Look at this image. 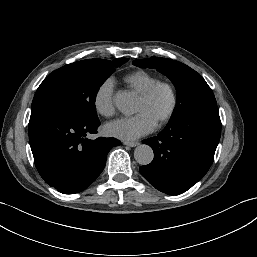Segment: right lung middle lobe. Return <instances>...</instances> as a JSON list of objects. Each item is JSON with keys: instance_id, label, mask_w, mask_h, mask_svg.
Wrapping results in <instances>:
<instances>
[{"instance_id": "1", "label": "right lung middle lobe", "mask_w": 257, "mask_h": 257, "mask_svg": "<svg viewBox=\"0 0 257 257\" xmlns=\"http://www.w3.org/2000/svg\"><path fill=\"white\" fill-rule=\"evenodd\" d=\"M127 61L128 58L113 61L88 59L55 70L37 89L31 115L43 113L73 120L98 119L95 107L97 92L115 69Z\"/></svg>"}]
</instances>
